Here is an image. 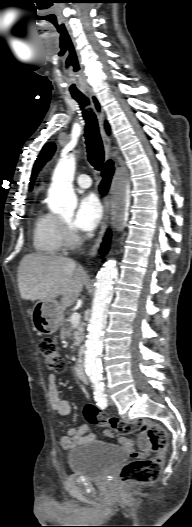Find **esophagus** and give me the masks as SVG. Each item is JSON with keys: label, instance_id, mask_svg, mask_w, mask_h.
Returning <instances> with one entry per match:
<instances>
[{"label": "esophagus", "instance_id": "obj_1", "mask_svg": "<svg viewBox=\"0 0 192 527\" xmlns=\"http://www.w3.org/2000/svg\"><path fill=\"white\" fill-rule=\"evenodd\" d=\"M89 95H90V98H91L94 110H95V112L97 114V117H98V120H99L100 132H101V137H102V140H103V145H104V148H105L106 159H108L109 158V153H110V147H111V139L109 138V136L107 135V133L105 131V127H104V117L105 116H104L103 107H102L98 97L96 96V94L93 91H89ZM103 208H104V214H103V219H102L101 226H100L99 235H98L94 245L92 246V248L89 251V256L90 257H94L97 254V252H98V250L100 248V244H101V242L103 240V236H104V234L106 232V229H107V226H108L110 201H109V198L107 196H105L103 198Z\"/></svg>", "mask_w": 192, "mask_h": 527}]
</instances>
